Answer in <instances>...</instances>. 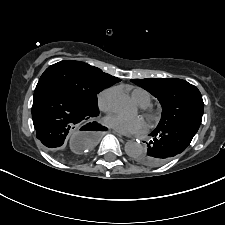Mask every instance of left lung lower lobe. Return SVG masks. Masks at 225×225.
<instances>
[{
  "instance_id": "0a47b994",
  "label": "left lung lower lobe",
  "mask_w": 225,
  "mask_h": 225,
  "mask_svg": "<svg viewBox=\"0 0 225 225\" xmlns=\"http://www.w3.org/2000/svg\"><path fill=\"white\" fill-rule=\"evenodd\" d=\"M201 121L188 120L168 128L154 130L147 150L136 160L146 166H160L183 152L199 129Z\"/></svg>"
}]
</instances>
